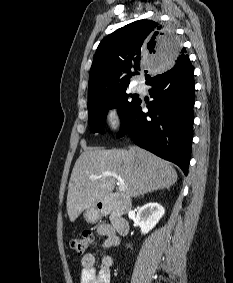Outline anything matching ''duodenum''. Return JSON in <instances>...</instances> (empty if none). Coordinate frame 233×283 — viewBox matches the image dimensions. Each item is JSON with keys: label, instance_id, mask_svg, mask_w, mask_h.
Instances as JSON below:
<instances>
[{"label": "duodenum", "instance_id": "410a0bca", "mask_svg": "<svg viewBox=\"0 0 233 283\" xmlns=\"http://www.w3.org/2000/svg\"><path fill=\"white\" fill-rule=\"evenodd\" d=\"M127 199L122 195H112L98 204L99 213L111 215V228L114 233L125 235L128 232V222L123 215L128 211Z\"/></svg>", "mask_w": 233, "mask_h": 283}]
</instances>
